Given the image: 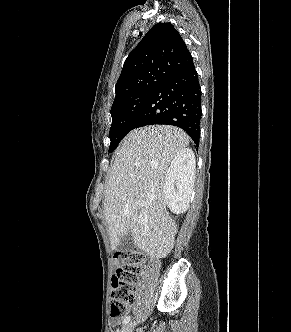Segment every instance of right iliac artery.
<instances>
[{
  "label": "right iliac artery",
  "mask_w": 291,
  "mask_h": 332,
  "mask_svg": "<svg viewBox=\"0 0 291 332\" xmlns=\"http://www.w3.org/2000/svg\"><path fill=\"white\" fill-rule=\"evenodd\" d=\"M130 320H131L130 316L125 317L123 320V324H127Z\"/></svg>",
  "instance_id": "82829eb1"
}]
</instances>
